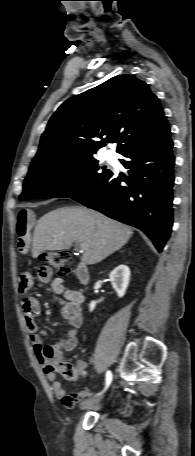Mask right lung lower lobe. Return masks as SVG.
Here are the masks:
<instances>
[{"label": "right lung lower lobe", "mask_w": 195, "mask_h": 456, "mask_svg": "<svg viewBox=\"0 0 195 456\" xmlns=\"http://www.w3.org/2000/svg\"><path fill=\"white\" fill-rule=\"evenodd\" d=\"M173 142L135 147L120 159L129 177L111 173L86 194L73 198L110 218L142 230L161 252L173 224ZM126 182L122 185L121 182Z\"/></svg>", "instance_id": "obj_1"}]
</instances>
